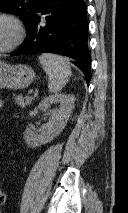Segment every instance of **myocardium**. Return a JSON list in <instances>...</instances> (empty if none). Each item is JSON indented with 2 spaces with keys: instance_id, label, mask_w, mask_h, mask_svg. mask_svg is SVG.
<instances>
[{
  "instance_id": "1",
  "label": "myocardium",
  "mask_w": 128,
  "mask_h": 213,
  "mask_svg": "<svg viewBox=\"0 0 128 213\" xmlns=\"http://www.w3.org/2000/svg\"><path fill=\"white\" fill-rule=\"evenodd\" d=\"M0 19L9 21L15 30V37L13 41L6 47L0 48V53H7L15 50L21 45L25 38V26L23 22L14 14L9 12H0Z\"/></svg>"
}]
</instances>
